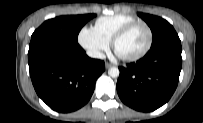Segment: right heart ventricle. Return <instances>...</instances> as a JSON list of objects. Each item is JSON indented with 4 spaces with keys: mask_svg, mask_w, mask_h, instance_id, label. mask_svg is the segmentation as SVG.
<instances>
[{
    "mask_svg": "<svg viewBox=\"0 0 203 123\" xmlns=\"http://www.w3.org/2000/svg\"><path fill=\"white\" fill-rule=\"evenodd\" d=\"M137 20L136 17L128 14L103 16L96 20L94 29L106 41L111 42L120 29Z\"/></svg>",
    "mask_w": 203,
    "mask_h": 123,
    "instance_id": "right-heart-ventricle-1",
    "label": "right heart ventricle"
}]
</instances>
